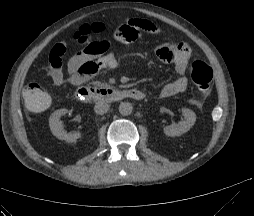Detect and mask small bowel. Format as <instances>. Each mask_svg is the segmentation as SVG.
Listing matches in <instances>:
<instances>
[{
  "label": "small bowel",
  "mask_w": 254,
  "mask_h": 216,
  "mask_svg": "<svg viewBox=\"0 0 254 216\" xmlns=\"http://www.w3.org/2000/svg\"><path fill=\"white\" fill-rule=\"evenodd\" d=\"M163 33L161 27L148 20L135 19L120 25L115 32V39L120 44L133 42L145 36H156ZM156 55L173 64L179 77L166 84L160 91L161 97H171L186 91L188 87L187 78L184 76L192 50L188 43L174 37H167L163 45L154 47ZM65 48L57 44L49 56V75L55 86L60 87L66 82L63 73V55ZM118 58L113 51H100L94 47H86L74 54L68 61V82L73 86L87 82L92 76L102 69H116ZM140 91V90H139ZM143 93V92H142Z\"/></svg>",
  "instance_id": "obj_1"
}]
</instances>
